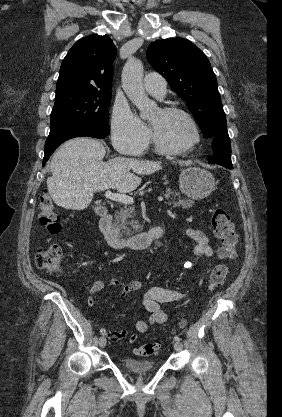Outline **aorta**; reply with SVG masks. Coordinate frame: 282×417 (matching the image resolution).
Instances as JSON below:
<instances>
[{"instance_id": "obj_1", "label": "aorta", "mask_w": 282, "mask_h": 417, "mask_svg": "<svg viewBox=\"0 0 282 417\" xmlns=\"http://www.w3.org/2000/svg\"><path fill=\"white\" fill-rule=\"evenodd\" d=\"M143 64L138 58H127L122 70L123 90L131 102L140 110L141 118H148L157 108L156 102L148 98L143 86Z\"/></svg>"}]
</instances>
